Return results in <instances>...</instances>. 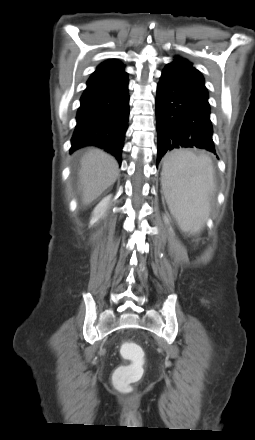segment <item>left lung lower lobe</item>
<instances>
[{
    "mask_svg": "<svg viewBox=\"0 0 255 440\" xmlns=\"http://www.w3.org/2000/svg\"><path fill=\"white\" fill-rule=\"evenodd\" d=\"M157 163L169 151L197 147L216 154L208 92L167 66L156 93Z\"/></svg>",
    "mask_w": 255,
    "mask_h": 440,
    "instance_id": "obj_1",
    "label": "left lung lower lobe"
}]
</instances>
